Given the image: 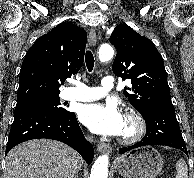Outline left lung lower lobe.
<instances>
[{
	"label": "left lung lower lobe",
	"mask_w": 194,
	"mask_h": 178,
	"mask_svg": "<svg viewBox=\"0 0 194 178\" xmlns=\"http://www.w3.org/2000/svg\"><path fill=\"white\" fill-rule=\"evenodd\" d=\"M140 113L147 125L146 135L140 142L120 148V154L142 146L165 145L180 149L188 155L173 105L151 106Z\"/></svg>",
	"instance_id": "left-lung-lower-lobe-1"
}]
</instances>
